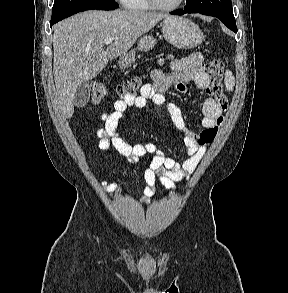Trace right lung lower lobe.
Instances as JSON below:
<instances>
[{
  "label": "right lung lower lobe",
  "instance_id": "98d812e1",
  "mask_svg": "<svg viewBox=\"0 0 288 293\" xmlns=\"http://www.w3.org/2000/svg\"><path fill=\"white\" fill-rule=\"evenodd\" d=\"M58 21L50 22V26L52 27L53 24L57 23Z\"/></svg>",
  "mask_w": 288,
  "mask_h": 293
}]
</instances>
